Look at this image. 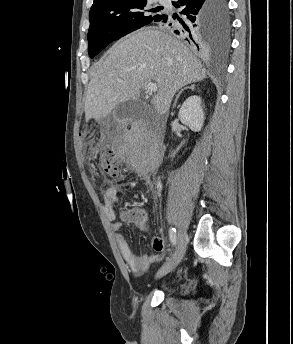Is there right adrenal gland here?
<instances>
[{"instance_id":"obj_1","label":"right adrenal gland","mask_w":293,"mask_h":344,"mask_svg":"<svg viewBox=\"0 0 293 344\" xmlns=\"http://www.w3.org/2000/svg\"><path fill=\"white\" fill-rule=\"evenodd\" d=\"M187 89L194 90V89H195V85H191V86H189V87H185L184 89H181V91H179V93L176 95V99H175V101H174L173 107L176 106V103H177V101H178L180 95L183 93V91H185V90H187Z\"/></svg>"}]
</instances>
